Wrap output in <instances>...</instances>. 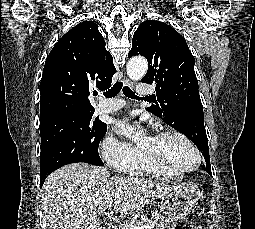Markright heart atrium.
<instances>
[{"mask_svg":"<svg viewBox=\"0 0 255 229\" xmlns=\"http://www.w3.org/2000/svg\"><path fill=\"white\" fill-rule=\"evenodd\" d=\"M101 153L109 166L122 170L126 164L137 157L140 150L115 136L109 135L101 143Z\"/></svg>","mask_w":255,"mask_h":229,"instance_id":"1","label":"right heart atrium"}]
</instances>
